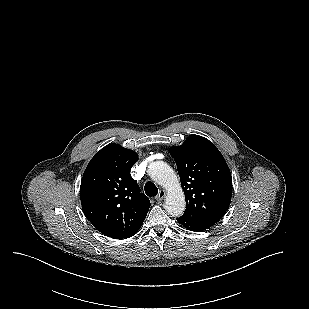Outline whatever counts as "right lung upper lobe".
Instances as JSON below:
<instances>
[{
    "label": "right lung upper lobe",
    "instance_id": "1",
    "mask_svg": "<svg viewBox=\"0 0 309 309\" xmlns=\"http://www.w3.org/2000/svg\"><path fill=\"white\" fill-rule=\"evenodd\" d=\"M137 159L134 151L109 144L94 155L83 174L80 198L84 214L108 237L135 235L150 207L130 174Z\"/></svg>",
    "mask_w": 309,
    "mask_h": 309
}]
</instances>
